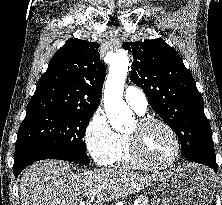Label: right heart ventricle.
<instances>
[{
	"mask_svg": "<svg viewBox=\"0 0 222 205\" xmlns=\"http://www.w3.org/2000/svg\"><path fill=\"white\" fill-rule=\"evenodd\" d=\"M108 164L125 167H144V165L140 164L132 156L129 139L125 133L118 134L116 148L112 153Z\"/></svg>",
	"mask_w": 222,
	"mask_h": 205,
	"instance_id": "e07e8e85",
	"label": "right heart ventricle"
}]
</instances>
